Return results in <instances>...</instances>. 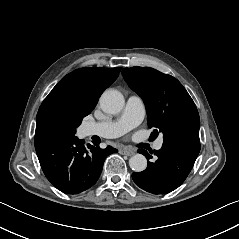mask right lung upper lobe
I'll return each instance as SVG.
<instances>
[{"mask_svg":"<svg viewBox=\"0 0 239 239\" xmlns=\"http://www.w3.org/2000/svg\"><path fill=\"white\" fill-rule=\"evenodd\" d=\"M120 70V67L75 70L64 76L45 100L63 95L93 110L102 92L116 80Z\"/></svg>","mask_w":239,"mask_h":239,"instance_id":"cb5924a9","label":"right lung upper lobe"}]
</instances>
